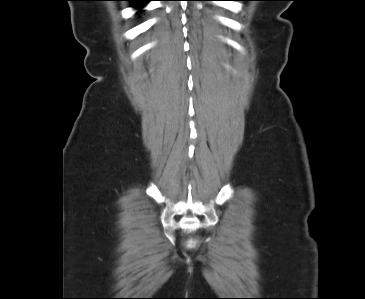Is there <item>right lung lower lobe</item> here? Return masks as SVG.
<instances>
[{"label":"right lung lower lobe","instance_id":"right-lung-lower-lobe-1","mask_svg":"<svg viewBox=\"0 0 365 299\" xmlns=\"http://www.w3.org/2000/svg\"><path fill=\"white\" fill-rule=\"evenodd\" d=\"M127 1H132V3H133L132 5L135 8H141L144 5H146L150 0H127Z\"/></svg>","mask_w":365,"mask_h":299}]
</instances>
